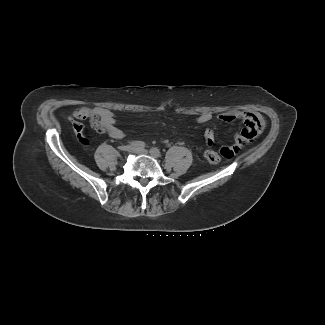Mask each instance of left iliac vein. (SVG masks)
<instances>
[{"label":"left iliac vein","instance_id":"obj_1","mask_svg":"<svg viewBox=\"0 0 325 325\" xmlns=\"http://www.w3.org/2000/svg\"><path fill=\"white\" fill-rule=\"evenodd\" d=\"M133 152H135L137 154H148V153H150L152 156H154L156 158L160 156V154L152 153V152H149V151H147L145 149H140V148H134Z\"/></svg>","mask_w":325,"mask_h":325}]
</instances>
